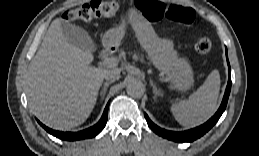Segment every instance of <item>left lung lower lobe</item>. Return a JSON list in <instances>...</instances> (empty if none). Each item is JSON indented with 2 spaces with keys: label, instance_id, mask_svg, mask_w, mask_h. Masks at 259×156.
<instances>
[{
  "label": "left lung lower lobe",
  "instance_id": "1",
  "mask_svg": "<svg viewBox=\"0 0 259 156\" xmlns=\"http://www.w3.org/2000/svg\"><path fill=\"white\" fill-rule=\"evenodd\" d=\"M226 56H227V52H226ZM227 63H228V67H229V77H228V84H227V87L225 90V94H224L222 103H221L218 111L215 113V115L213 117H211L206 123H204L201 126H198L196 128L186 130L183 132H173V131H168V130L162 129V128L158 127L157 125H155L149 119L147 114L145 113L144 116L146 118V121H147L149 127L156 134H158L166 139L176 141V142H192V141L200 138L201 136H203L206 132H208L217 123L220 116L225 111L227 101L229 98V94H230V90H231V70H230V64L228 61V57H227Z\"/></svg>",
  "mask_w": 259,
  "mask_h": 156
}]
</instances>
